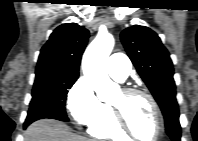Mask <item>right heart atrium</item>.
Masks as SVG:
<instances>
[{
    "mask_svg": "<svg viewBox=\"0 0 198 141\" xmlns=\"http://www.w3.org/2000/svg\"><path fill=\"white\" fill-rule=\"evenodd\" d=\"M66 109L71 120L80 126H89L102 112V103L84 77H80L69 89Z\"/></svg>",
    "mask_w": 198,
    "mask_h": 141,
    "instance_id": "1",
    "label": "right heart atrium"
}]
</instances>
